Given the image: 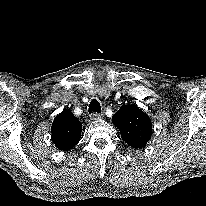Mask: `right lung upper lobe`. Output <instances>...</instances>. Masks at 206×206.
Masks as SVG:
<instances>
[{"label": "right lung upper lobe", "instance_id": "right-lung-upper-lobe-1", "mask_svg": "<svg viewBox=\"0 0 206 206\" xmlns=\"http://www.w3.org/2000/svg\"><path fill=\"white\" fill-rule=\"evenodd\" d=\"M81 122L69 110H65L53 121L51 127L53 143L59 150H68L80 140Z\"/></svg>", "mask_w": 206, "mask_h": 206}]
</instances>
